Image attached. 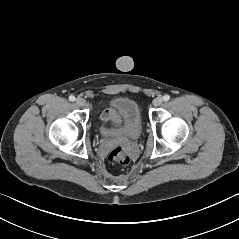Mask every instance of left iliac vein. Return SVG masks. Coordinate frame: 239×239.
I'll use <instances>...</instances> for the list:
<instances>
[{
	"label": "left iliac vein",
	"mask_w": 239,
	"mask_h": 239,
	"mask_svg": "<svg viewBox=\"0 0 239 239\" xmlns=\"http://www.w3.org/2000/svg\"><path fill=\"white\" fill-rule=\"evenodd\" d=\"M162 102H163L162 97H156V98L153 100V105H154L155 107H158V106H160V105L162 104Z\"/></svg>",
	"instance_id": "obj_1"
}]
</instances>
